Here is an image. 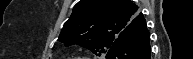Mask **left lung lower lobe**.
I'll use <instances>...</instances> for the list:
<instances>
[{
    "label": "left lung lower lobe",
    "instance_id": "obj_1",
    "mask_svg": "<svg viewBox=\"0 0 193 59\" xmlns=\"http://www.w3.org/2000/svg\"><path fill=\"white\" fill-rule=\"evenodd\" d=\"M106 59H151L150 34L143 15L113 43Z\"/></svg>",
    "mask_w": 193,
    "mask_h": 59
}]
</instances>
